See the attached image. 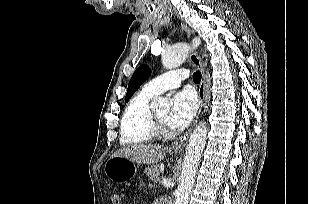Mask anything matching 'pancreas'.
<instances>
[{
  "label": "pancreas",
  "mask_w": 309,
  "mask_h": 204,
  "mask_svg": "<svg viewBox=\"0 0 309 204\" xmlns=\"http://www.w3.org/2000/svg\"><path fill=\"white\" fill-rule=\"evenodd\" d=\"M144 172L153 182L159 181L160 168L158 165L148 166Z\"/></svg>",
  "instance_id": "cf45deb5"
}]
</instances>
